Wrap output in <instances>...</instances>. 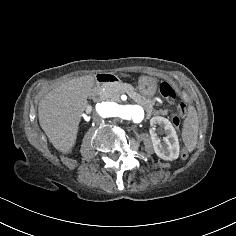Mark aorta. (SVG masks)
I'll return each instance as SVG.
<instances>
[{
    "label": "aorta",
    "instance_id": "1",
    "mask_svg": "<svg viewBox=\"0 0 236 236\" xmlns=\"http://www.w3.org/2000/svg\"><path fill=\"white\" fill-rule=\"evenodd\" d=\"M96 111L104 118L119 117L133 123H141L145 117L144 109L138 105H119L114 102H101Z\"/></svg>",
    "mask_w": 236,
    "mask_h": 236
}]
</instances>
